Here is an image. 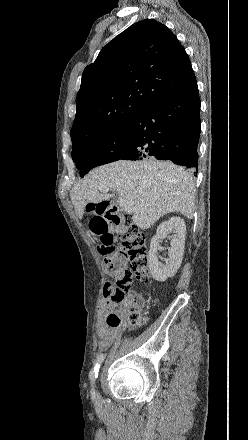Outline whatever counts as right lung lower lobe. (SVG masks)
<instances>
[{"mask_svg":"<svg viewBox=\"0 0 248 440\" xmlns=\"http://www.w3.org/2000/svg\"><path fill=\"white\" fill-rule=\"evenodd\" d=\"M131 136L122 160H170L198 168L200 99L197 83L144 106L129 121ZM119 159V160H120Z\"/></svg>","mask_w":248,"mask_h":440,"instance_id":"right-lung-lower-lobe-1","label":"right lung lower lobe"}]
</instances>
